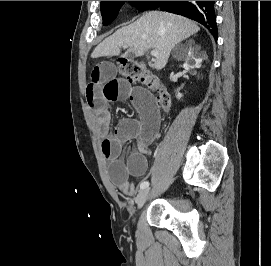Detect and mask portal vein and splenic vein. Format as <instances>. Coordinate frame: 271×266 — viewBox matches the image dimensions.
I'll use <instances>...</instances> for the list:
<instances>
[{"mask_svg": "<svg viewBox=\"0 0 271 266\" xmlns=\"http://www.w3.org/2000/svg\"><path fill=\"white\" fill-rule=\"evenodd\" d=\"M128 46H125V48H127ZM151 55L153 56V57H156L157 55H158V52L156 51V50H152L151 51Z\"/></svg>", "mask_w": 271, "mask_h": 266, "instance_id": "1", "label": "portal vein and splenic vein"}]
</instances>
